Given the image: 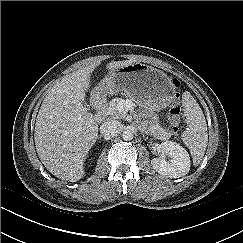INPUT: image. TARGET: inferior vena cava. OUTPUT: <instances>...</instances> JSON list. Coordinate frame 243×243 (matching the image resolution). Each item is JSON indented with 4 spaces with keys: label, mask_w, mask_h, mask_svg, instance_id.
Segmentation results:
<instances>
[{
    "label": "inferior vena cava",
    "mask_w": 243,
    "mask_h": 243,
    "mask_svg": "<svg viewBox=\"0 0 243 243\" xmlns=\"http://www.w3.org/2000/svg\"><path fill=\"white\" fill-rule=\"evenodd\" d=\"M123 130L122 124L117 120H111L100 126V133L105 137H115Z\"/></svg>",
    "instance_id": "602c4592"
}]
</instances>
